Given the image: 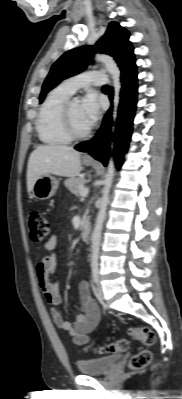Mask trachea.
<instances>
[{
  "label": "trachea",
  "mask_w": 182,
  "mask_h": 399,
  "mask_svg": "<svg viewBox=\"0 0 182 399\" xmlns=\"http://www.w3.org/2000/svg\"><path fill=\"white\" fill-rule=\"evenodd\" d=\"M103 89H109V86L108 85H104Z\"/></svg>",
  "instance_id": "trachea-1"
}]
</instances>
